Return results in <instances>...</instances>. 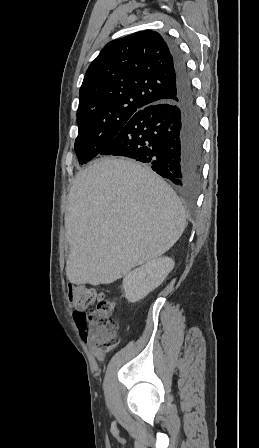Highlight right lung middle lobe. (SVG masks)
Wrapping results in <instances>:
<instances>
[{"label": "right lung middle lobe", "mask_w": 259, "mask_h": 448, "mask_svg": "<svg viewBox=\"0 0 259 448\" xmlns=\"http://www.w3.org/2000/svg\"><path fill=\"white\" fill-rule=\"evenodd\" d=\"M140 108H130L113 113H88L77 115L79 127L75 152L79 163L86 164L114 139L125 124Z\"/></svg>", "instance_id": "1"}]
</instances>
